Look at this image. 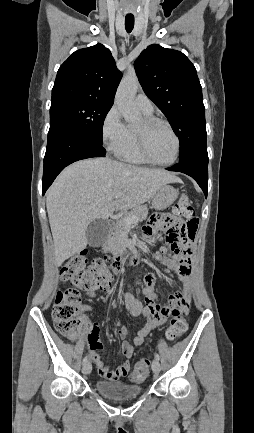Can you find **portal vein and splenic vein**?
Segmentation results:
<instances>
[{"label": "portal vein and splenic vein", "mask_w": 254, "mask_h": 433, "mask_svg": "<svg viewBox=\"0 0 254 433\" xmlns=\"http://www.w3.org/2000/svg\"><path fill=\"white\" fill-rule=\"evenodd\" d=\"M122 195H123V193H122V192H119L118 194H116L115 199L120 198ZM124 221H125V223H126L127 225H130V224H132V223H136V222H138V218L135 217V216H133V217H128V218H125Z\"/></svg>", "instance_id": "18ae733b"}]
</instances>
